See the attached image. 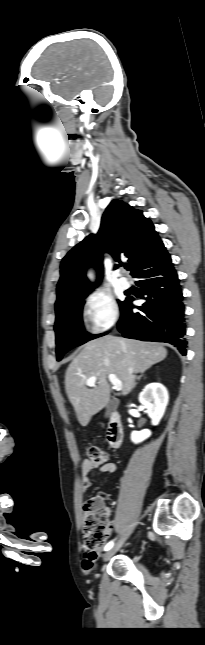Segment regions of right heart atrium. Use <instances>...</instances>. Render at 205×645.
I'll use <instances>...</instances> for the list:
<instances>
[{"label": "right heart atrium", "mask_w": 205, "mask_h": 645, "mask_svg": "<svg viewBox=\"0 0 205 645\" xmlns=\"http://www.w3.org/2000/svg\"><path fill=\"white\" fill-rule=\"evenodd\" d=\"M82 315L93 334H103L111 330L119 320L120 313L114 299L102 292L88 294L82 304Z\"/></svg>", "instance_id": "obj_1"}]
</instances>
